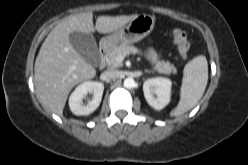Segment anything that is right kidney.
<instances>
[{
  "mask_svg": "<svg viewBox=\"0 0 248 165\" xmlns=\"http://www.w3.org/2000/svg\"><path fill=\"white\" fill-rule=\"evenodd\" d=\"M104 85L101 82L86 81L72 92L69 98V107L75 115H89L94 112L102 100ZM93 93L92 100L87 104L83 103V98L87 93Z\"/></svg>",
  "mask_w": 248,
  "mask_h": 165,
  "instance_id": "obj_1",
  "label": "right kidney"
}]
</instances>
